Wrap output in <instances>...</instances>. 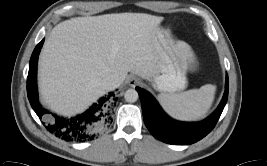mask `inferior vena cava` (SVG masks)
<instances>
[{
    "instance_id": "602c4592",
    "label": "inferior vena cava",
    "mask_w": 267,
    "mask_h": 166,
    "mask_svg": "<svg viewBox=\"0 0 267 166\" xmlns=\"http://www.w3.org/2000/svg\"><path fill=\"white\" fill-rule=\"evenodd\" d=\"M119 78H116L114 76H108L105 81L103 82V86L106 90H113L117 88L120 85Z\"/></svg>"
}]
</instances>
